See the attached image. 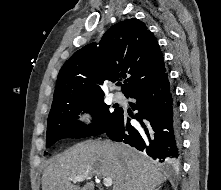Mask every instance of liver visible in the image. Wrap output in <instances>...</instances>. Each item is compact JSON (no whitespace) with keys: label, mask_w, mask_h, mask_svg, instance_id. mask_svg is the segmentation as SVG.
I'll return each mask as SVG.
<instances>
[{"label":"liver","mask_w":221,"mask_h":190,"mask_svg":"<svg viewBox=\"0 0 221 190\" xmlns=\"http://www.w3.org/2000/svg\"><path fill=\"white\" fill-rule=\"evenodd\" d=\"M76 176L111 178L113 190H155L166 180L145 154L109 140H88L57 155L43 172L42 190H94L93 181L72 184Z\"/></svg>","instance_id":"6515ba94"}]
</instances>
